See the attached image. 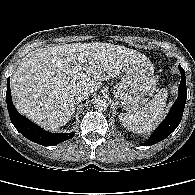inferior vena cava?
I'll use <instances>...</instances> for the list:
<instances>
[{"label":"inferior vena cava","mask_w":195,"mask_h":195,"mask_svg":"<svg viewBox=\"0 0 195 195\" xmlns=\"http://www.w3.org/2000/svg\"><path fill=\"white\" fill-rule=\"evenodd\" d=\"M73 95L76 102H81L89 97L90 91L84 87H79L73 92Z\"/></svg>","instance_id":"inferior-vena-cava-1"}]
</instances>
